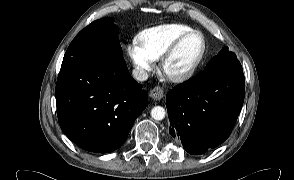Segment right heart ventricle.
<instances>
[{
  "label": "right heart ventricle",
  "instance_id": "1",
  "mask_svg": "<svg viewBox=\"0 0 294 180\" xmlns=\"http://www.w3.org/2000/svg\"><path fill=\"white\" fill-rule=\"evenodd\" d=\"M191 30L185 24H163L139 31L136 39L153 60H158L174 41Z\"/></svg>",
  "mask_w": 294,
  "mask_h": 180
}]
</instances>
